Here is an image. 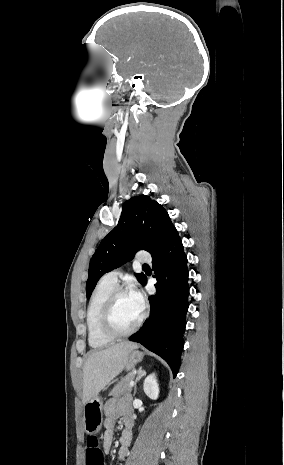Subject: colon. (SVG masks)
<instances>
[{"label":"colon","instance_id":"colon-1","mask_svg":"<svg viewBox=\"0 0 284 465\" xmlns=\"http://www.w3.org/2000/svg\"><path fill=\"white\" fill-rule=\"evenodd\" d=\"M87 441L90 444L96 446H85L84 453L86 455V465H104L102 460V452L100 451V447L97 446L98 442L93 435H90L87 438Z\"/></svg>","mask_w":284,"mask_h":465}]
</instances>
